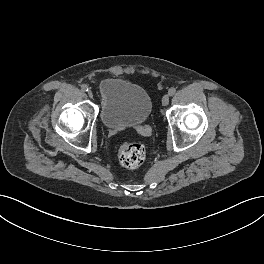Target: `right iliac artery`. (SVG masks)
I'll return each instance as SVG.
<instances>
[{
    "mask_svg": "<svg viewBox=\"0 0 264 264\" xmlns=\"http://www.w3.org/2000/svg\"><path fill=\"white\" fill-rule=\"evenodd\" d=\"M81 89H82L83 91H88V90H89V88H88V86H87L86 84H83V85L81 86Z\"/></svg>",
    "mask_w": 264,
    "mask_h": 264,
    "instance_id": "1",
    "label": "right iliac artery"
}]
</instances>
